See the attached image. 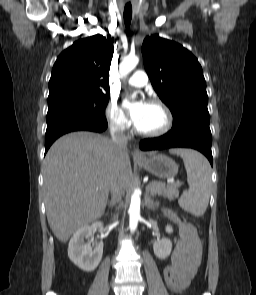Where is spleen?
<instances>
[{
    "mask_svg": "<svg viewBox=\"0 0 256 295\" xmlns=\"http://www.w3.org/2000/svg\"><path fill=\"white\" fill-rule=\"evenodd\" d=\"M172 153L180 155L187 171L189 189L179 199L185 211L200 217L208 206L211 187V167L208 160L199 152L191 149H177Z\"/></svg>",
    "mask_w": 256,
    "mask_h": 295,
    "instance_id": "3e777b00",
    "label": "spleen"
}]
</instances>
